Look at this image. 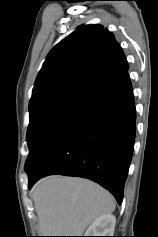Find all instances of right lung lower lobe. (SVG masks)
<instances>
[{"label": "right lung lower lobe", "instance_id": "right-lung-lower-lobe-1", "mask_svg": "<svg viewBox=\"0 0 158 237\" xmlns=\"http://www.w3.org/2000/svg\"><path fill=\"white\" fill-rule=\"evenodd\" d=\"M135 121L133 90L126 72L91 95L41 142L26 168L29 188L49 174L84 177L109 190L121 204Z\"/></svg>", "mask_w": 158, "mask_h": 237}]
</instances>
